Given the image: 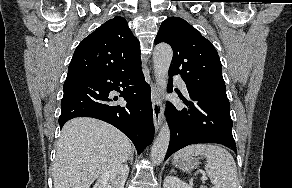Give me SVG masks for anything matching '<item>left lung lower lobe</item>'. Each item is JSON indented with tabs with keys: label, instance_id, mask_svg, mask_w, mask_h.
<instances>
[{
	"label": "left lung lower lobe",
	"instance_id": "left-lung-lower-lobe-1",
	"mask_svg": "<svg viewBox=\"0 0 292 188\" xmlns=\"http://www.w3.org/2000/svg\"><path fill=\"white\" fill-rule=\"evenodd\" d=\"M171 76L169 92L173 91ZM187 90L189 99H182L187 108L178 110L169 103L166 110L171 138L165 160L179 149L196 143H218L237 152L228 98Z\"/></svg>",
	"mask_w": 292,
	"mask_h": 188
}]
</instances>
